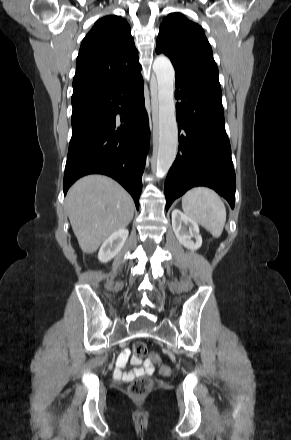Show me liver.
<instances>
[{
  "mask_svg": "<svg viewBox=\"0 0 291 440\" xmlns=\"http://www.w3.org/2000/svg\"><path fill=\"white\" fill-rule=\"evenodd\" d=\"M66 206L73 232L84 253L92 254L134 215L129 193L113 179L89 175L69 189Z\"/></svg>",
  "mask_w": 291,
  "mask_h": 440,
  "instance_id": "obj_1",
  "label": "liver"
}]
</instances>
